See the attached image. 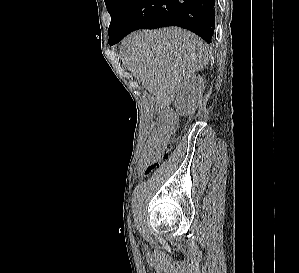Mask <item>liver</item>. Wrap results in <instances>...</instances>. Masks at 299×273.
Masks as SVG:
<instances>
[{
    "mask_svg": "<svg viewBox=\"0 0 299 273\" xmlns=\"http://www.w3.org/2000/svg\"><path fill=\"white\" fill-rule=\"evenodd\" d=\"M121 54L158 109L169 107L181 83L209 61L202 39L176 27L137 31L124 39Z\"/></svg>",
    "mask_w": 299,
    "mask_h": 273,
    "instance_id": "obj_1",
    "label": "liver"
}]
</instances>
